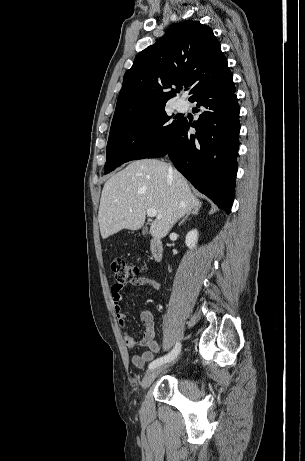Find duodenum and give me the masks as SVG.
<instances>
[{
  "instance_id": "410a0bca",
  "label": "duodenum",
  "mask_w": 305,
  "mask_h": 461,
  "mask_svg": "<svg viewBox=\"0 0 305 461\" xmlns=\"http://www.w3.org/2000/svg\"><path fill=\"white\" fill-rule=\"evenodd\" d=\"M149 245H150L152 261L154 262L160 261L162 258V254H163V244L161 240L155 237H151L149 239Z\"/></svg>"
}]
</instances>
